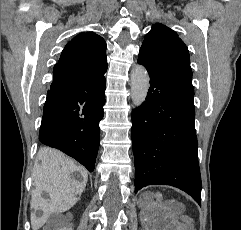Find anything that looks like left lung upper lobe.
I'll return each instance as SVG.
<instances>
[{
    "label": "left lung upper lobe",
    "mask_w": 241,
    "mask_h": 230,
    "mask_svg": "<svg viewBox=\"0 0 241 230\" xmlns=\"http://www.w3.org/2000/svg\"><path fill=\"white\" fill-rule=\"evenodd\" d=\"M146 66L192 81L189 52L177 33L162 24H155L139 51Z\"/></svg>",
    "instance_id": "5c2ea615"
}]
</instances>
